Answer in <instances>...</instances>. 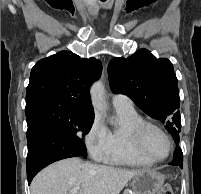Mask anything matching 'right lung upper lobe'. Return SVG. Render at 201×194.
<instances>
[{"label": "right lung upper lobe", "instance_id": "1", "mask_svg": "<svg viewBox=\"0 0 201 194\" xmlns=\"http://www.w3.org/2000/svg\"><path fill=\"white\" fill-rule=\"evenodd\" d=\"M101 71L99 60L80 58L70 51L44 58L31 70L26 104L55 99L69 104L78 112L94 115L89 89Z\"/></svg>", "mask_w": 201, "mask_h": 194}]
</instances>
